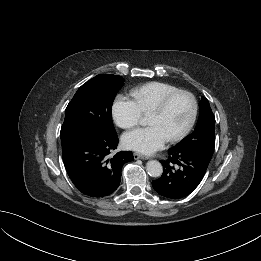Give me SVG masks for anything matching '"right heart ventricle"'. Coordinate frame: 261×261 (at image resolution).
<instances>
[{
  "label": "right heart ventricle",
  "mask_w": 261,
  "mask_h": 261,
  "mask_svg": "<svg viewBox=\"0 0 261 261\" xmlns=\"http://www.w3.org/2000/svg\"><path fill=\"white\" fill-rule=\"evenodd\" d=\"M176 86L165 82H149L133 90L132 94L141 111L149 114L168 95L178 91Z\"/></svg>",
  "instance_id": "1"
}]
</instances>
